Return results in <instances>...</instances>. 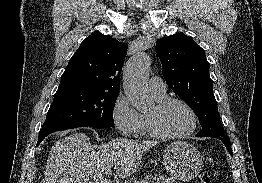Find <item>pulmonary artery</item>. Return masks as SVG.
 I'll list each match as a JSON object with an SVG mask.
<instances>
[{"instance_id":"1","label":"pulmonary artery","mask_w":262,"mask_h":183,"mask_svg":"<svg viewBox=\"0 0 262 183\" xmlns=\"http://www.w3.org/2000/svg\"><path fill=\"white\" fill-rule=\"evenodd\" d=\"M149 88L151 93L157 97L164 96L166 93L165 82L157 76H154L149 80Z\"/></svg>"}]
</instances>
